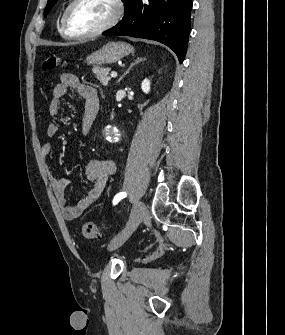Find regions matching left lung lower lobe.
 I'll return each mask as SVG.
<instances>
[{
  "instance_id": "0a47b994",
  "label": "left lung lower lobe",
  "mask_w": 285,
  "mask_h": 335,
  "mask_svg": "<svg viewBox=\"0 0 285 335\" xmlns=\"http://www.w3.org/2000/svg\"><path fill=\"white\" fill-rule=\"evenodd\" d=\"M125 16L107 36L152 39L171 48L182 63L187 51L192 0H124Z\"/></svg>"
}]
</instances>
